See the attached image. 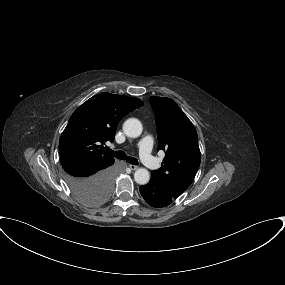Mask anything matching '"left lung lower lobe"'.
I'll return each instance as SVG.
<instances>
[{"instance_id": "0a47b994", "label": "left lung lower lobe", "mask_w": 285, "mask_h": 285, "mask_svg": "<svg viewBox=\"0 0 285 285\" xmlns=\"http://www.w3.org/2000/svg\"><path fill=\"white\" fill-rule=\"evenodd\" d=\"M144 200L152 207H166L177 197L164 181L152 175L150 182L140 186Z\"/></svg>"}]
</instances>
